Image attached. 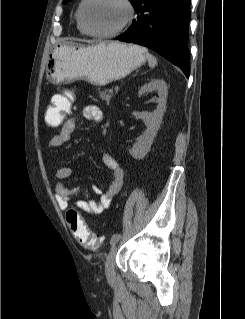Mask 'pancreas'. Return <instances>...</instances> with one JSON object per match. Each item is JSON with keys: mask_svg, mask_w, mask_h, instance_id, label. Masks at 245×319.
<instances>
[{"mask_svg": "<svg viewBox=\"0 0 245 319\" xmlns=\"http://www.w3.org/2000/svg\"><path fill=\"white\" fill-rule=\"evenodd\" d=\"M99 95L101 99L106 100V102L109 103L113 97V92L110 91V89H104L99 91Z\"/></svg>", "mask_w": 245, "mask_h": 319, "instance_id": "obj_1", "label": "pancreas"}]
</instances>
